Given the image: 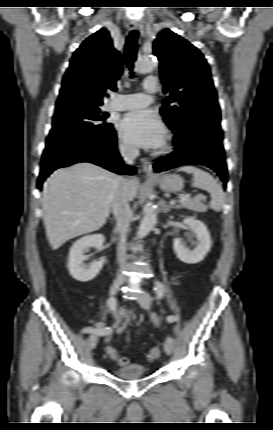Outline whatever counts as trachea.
Here are the masks:
<instances>
[{
    "label": "trachea",
    "mask_w": 273,
    "mask_h": 430,
    "mask_svg": "<svg viewBox=\"0 0 273 430\" xmlns=\"http://www.w3.org/2000/svg\"><path fill=\"white\" fill-rule=\"evenodd\" d=\"M137 37L138 32L136 30H133L130 32L129 36L126 40V47H125V56H126V65L129 69L132 70L134 62L137 57ZM133 72H131V75ZM133 76H131L132 78Z\"/></svg>",
    "instance_id": "trachea-1"
}]
</instances>
